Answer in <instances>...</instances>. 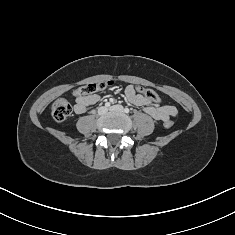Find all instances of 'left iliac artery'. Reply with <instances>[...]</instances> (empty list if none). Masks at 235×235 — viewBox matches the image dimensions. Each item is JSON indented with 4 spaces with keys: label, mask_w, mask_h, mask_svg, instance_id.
Listing matches in <instances>:
<instances>
[{
    "label": "left iliac artery",
    "mask_w": 235,
    "mask_h": 235,
    "mask_svg": "<svg viewBox=\"0 0 235 235\" xmlns=\"http://www.w3.org/2000/svg\"><path fill=\"white\" fill-rule=\"evenodd\" d=\"M129 111H130V110H129L128 108H125V109H124V112H125V113H129Z\"/></svg>",
    "instance_id": "obj_1"
}]
</instances>
